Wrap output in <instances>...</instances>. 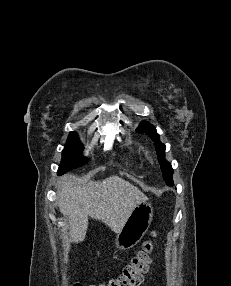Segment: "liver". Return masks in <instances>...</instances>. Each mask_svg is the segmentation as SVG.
I'll return each instance as SVG.
<instances>
[{
	"label": "liver",
	"mask_w": 231,
	"mask_h": 286,
	"mask_svg": "<svg viewBox=\"0 0 231 286\" xmlns=\"http://www.w3.org/2000/svg\"><path fill=\"white\" fill-rule=\"evenodd\" d=\"M57 194L56 204L69 219L70 237L74 243L84 241L88 216L118 233L134 208L148 199L137 187L116 175L83 186L76 185L72 176L66 175Z\"/></svg>",
	"instance_id": "1"
}]
</instances>
